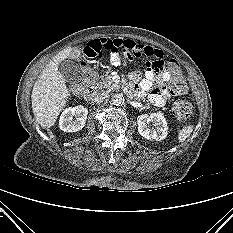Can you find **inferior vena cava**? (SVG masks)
Wrapping results in <instances>:
<instances>
[{
	"label": "inferior vena cava",
	"mask_w": 233,
	"mask_h": 233,
	"mask_svg": "<svg viewBox=\"0 0 233 233\" xmlns=\"http://www.w3.org/2000/svg\"><path fill=\"white\" fill-rule=\"evenodd\" d=\"M109 99V95L107 93H98L96 96H95V101L98 102V103H102V102H105Z\"/></svg>",
	"instance_id": "inferior-vena-cava-1"
}]
</instances>
